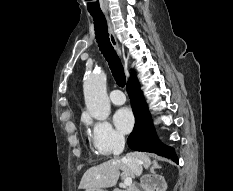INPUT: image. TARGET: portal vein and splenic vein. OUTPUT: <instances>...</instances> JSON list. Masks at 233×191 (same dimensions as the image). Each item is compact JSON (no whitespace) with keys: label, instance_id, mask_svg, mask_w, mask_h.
I'll list each match as a JSON object with an SVG mask.
<instances>
[{"label":"portal vein and splenic vein","instance_id":"18ae733b","mask_svg":"<svg viewBox=\"0 0 233 191\" xmlns=\"http://www.w3.org/2000/svg\"><path fill=\"white\" fill-rule=\"evenodd\" d=\"M124 185L127 187H130L132 185V178L131 177H127L124 179Z\"/></svg>","mask_w":233,"mask_h":191}]
</instances>
